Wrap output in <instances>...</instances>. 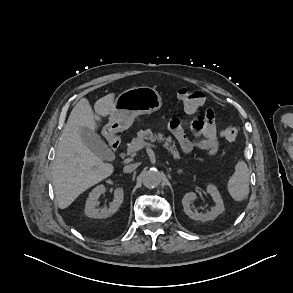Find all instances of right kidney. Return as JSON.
Listing matches in <instances>:
<instances>
[{
    "label": "right kidney",
    "mask_w": 293,
    "mask_h": 293,
    "mask_svg": "<svg viewBox=\"0 0 293 293\" xmlns=\"http://www.w3.org/2000/svg\"><path fill=\"white\" fill-rule=\"evenodd\" d=\"M106 192L104 185L96 186L89 194L85 204V214L90 218H107L113 215L121 206L123 202L124 192L122 188H116L114 190V199L108 208L101 210L97 209V203L99 197Z\"/></svg>",
    "instance_id": "1"
}]
</instances>
